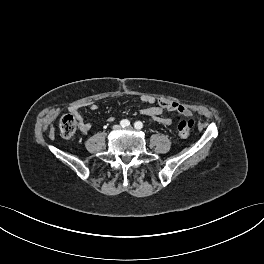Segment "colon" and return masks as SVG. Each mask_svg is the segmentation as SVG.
I'll return each instance as SVG.
<instances>
[{
  "label": "colon",
  "mask_w": 264,
  "mask_h": 264,
  "mask_svg": "<svg viewBox=\"0 0 264 264\" xmlns=\"http://www.w3.org/2000/svg\"><path fill=\"white\" fill-rule=\"evenodd\" d=\"M194 126V120L177 116V131L181 138H186L190 135ZM79 127L77 115L72 112H66L62 115L59 121L60 133L65 138H70L75 135Z\"/></svg>",
  "instance_id": "1"
}]
</instances>
